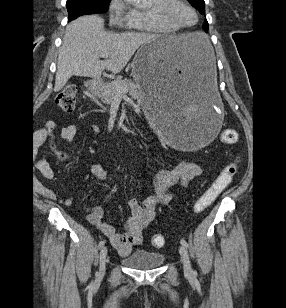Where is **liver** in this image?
<instances>
[{"mask_svg":"<svg viewBox=\"0 0 286 308\" xmlns=\"http://www.w3.org/2000/svg\"><path fill=\"white\" fill-rule=\"evenodd\" d=\"M103 27V18L96 15L78 17L67 25L58 55L55 92L73 75L98 79L105 69L120 73L141 45L163 37L140 32L113 34L105 32ZM164 37L186 57H191L202 40L207 39L200 32ZM102 52H109V58L100 60ZM208 53L209 47L205 50L206 57Z\"/></svg>","mask_w":286,"mask_h":308,"instance_id":"6515ba94","label":"liver"}]
</instances>
